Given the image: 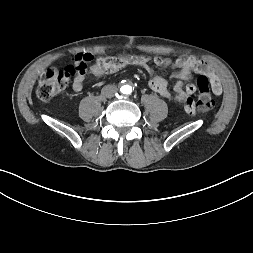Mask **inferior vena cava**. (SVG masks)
Segmentation results:
<instances>
[{"mask_svg": "<svg viewBox=\"0 0 253 253\" xmlns=\"http://www.w3.org/2000/svg\"><path fill=\"white\" fill-rule=\"evenodd\" d=\"M116 92H117V87L115 85H107L103 87L102 89V94L107 98L113 97Z\"/></svg>", "mask_w": 253, "mask_h": 253, "instance_id": "602c4592", "label": "inferior vena cava"}]
</instances>
